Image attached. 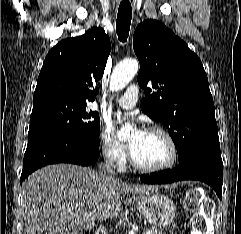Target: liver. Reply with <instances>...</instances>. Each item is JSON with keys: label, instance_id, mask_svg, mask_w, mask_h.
<instances>
[{"label": "liver", "instance_id": "1", "mask_svg": "<svg viewBox=\"0 0 241 234\" xmlns=\"http://www.w3.org/2000/svg\"><path fill=\"white\" fill-rule=\"evenodd\" d=\"M156 187L128 184L72 164L49 165L23 183L25 234H82L97 220L122 211L121 194H144Z\"/></svg>", "mask_w": 241, "mask_h": 234}]
</instances>
